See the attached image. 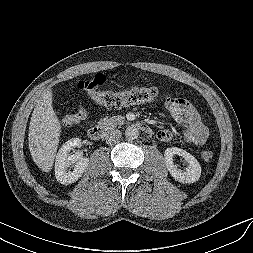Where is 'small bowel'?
<instances>
[{
	"label": "small bowel",
	"mask_w": 253,
	"mask_h": 253,
	"mask_svg": "<svg viewBox=\"0 0 253 253\" xmlns=\"http://www.w3.org/2000/svg\"><path fill=\"white\" fill-rule=\"evenodd\" d=\"M163 103L173 119L184 128L185 139L196 147L204 146L209 131L193 104L186 98L175 97L171 94L163 96ZM156 136L162 142L170 141L172 138L168 130H160Z\"/></svg>",
	"instance_id": "1"
}]
</instances>
